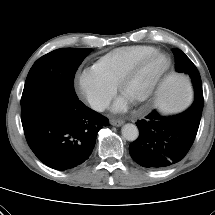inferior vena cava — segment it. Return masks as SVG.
<instances>
[{
    "mask_svg": "<svg viewBox=\"0 0 215 215\" xmlns=\"http://www.w3.org/2000/svg\"><path fill=\"white\" fill-rule=\"evenodd\" d=\"M110 104V100L108 99H103V100H98L94 103V109L97 111H103L105 110Z\"/></svg>",
    "mask_w": 215,
    "mask_h": 215,
    "instance_id": "602c4592",
    "label": "inferior vena cava"
}]
</instances>
